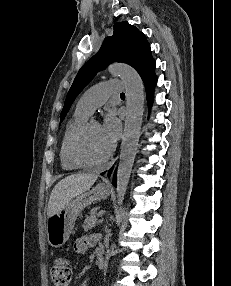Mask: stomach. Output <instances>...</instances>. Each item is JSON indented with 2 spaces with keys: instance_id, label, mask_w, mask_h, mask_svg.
<instances>
[{
  "instance_id": "obj_1",
  "label": "stomach",
  "mask_w": 231,
  "mask_h": 286,
  "mask_svg": "<svg viewBox=\"0 0 231 286\" xmlns=\"http://www.w3.org/2000/svg\"><path fill=\"white\" fill-rule=\"evenodd\" d=\"M111 193V187L106 183H98L75 198H73L59 212L48 217L47 239L54 248L62 247L70 237L76 219L80 212L87 206L106 199Z\"/></svg>"
}]
</instances>
